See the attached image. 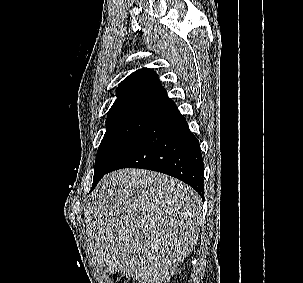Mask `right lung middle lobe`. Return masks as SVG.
Instances as JSON below:
<instances>
[{
	"label": "right lung middle lobe",
	"mask_w": 303,
	"mask_h": 283,
	"mask_svg": "<svg viewBox=\"0 0 303 283\" xmlns=\"http://www.w3.org/2000/svg\"><path fill=\"white\" fill-rule=\"evenodd\" d=\"M155 119L147 115H128L107 119V130L95 160L92 187L108 173L123 152Z\"/></svg>",
	"instance_id": "right-lung-middle-lobe-1"
}]
</instances>
